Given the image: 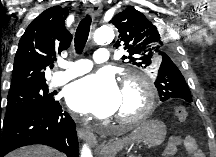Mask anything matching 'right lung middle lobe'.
<instances>
[{"instance_id":"right-lung-middle-lobe-1","label":"right lung middle lobe","mask_w":216,"mask_h":157,"mask_svg":"<svg viewBox=\"0 0 216 157\" xmlns=\"http://www.w3.org/2000/svg\"><path fill=\"white\" fill-rule=\"evenodd\" d=\"M52 96V94H48L47 85L26 87L9 92L4 120L12 119L28 112L46 109L54 106L57 101H55Z\"/></svg>"}]
</instances>
